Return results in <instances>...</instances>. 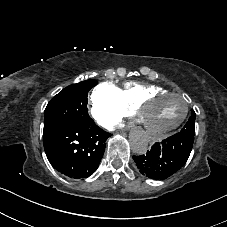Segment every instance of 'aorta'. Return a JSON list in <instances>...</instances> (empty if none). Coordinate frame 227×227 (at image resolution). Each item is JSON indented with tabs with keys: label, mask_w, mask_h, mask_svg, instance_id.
<instances>
[{
	"label": "aorta",
	"mask_w": 227,
	"mask_h": 227,
	"mask_svg": "<svg viewBox=\"0 0 227 227\" xmlns=\"http://www.w3.org/2000/svg\"><path fill=\"white\" fill-rule=\"evenodd\" d=\"M132 151L137 155L145 154L148 149V141L145 136L137 135L131 140Z\"/></svg>",
	"instance_id": "762f6f07"
}]
</instances>
